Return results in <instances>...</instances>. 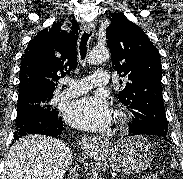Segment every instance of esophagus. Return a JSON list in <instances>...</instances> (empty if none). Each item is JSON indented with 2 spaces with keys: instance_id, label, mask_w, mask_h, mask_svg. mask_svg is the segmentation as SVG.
Masks as SVG:
<instances>
[{
  "instance_id": "esophagus-1",
  "label": "esophagus",
  "mask_w": 183,
  "mask_h": 179,
  "mask_svg": "<svg viewBox=\"0 0 183 179\" xmlns=\"http://www.w3.org/2000/svg\"><path fill=\"white\" fill-rule=\"evenodd\" d=\"M84 32L92 34L94 25L92 23L85 24L83 27ZM111 144V139L101 136H93L82 139V148L85 152L95 155L102 152V150Z\"/></svg>"
}]
</instances>
